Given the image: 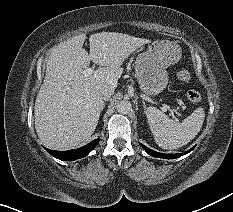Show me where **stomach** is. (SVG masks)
Wrapping results in <instances>:
<instances>
[{"label":"stomach","instance_id":"1","mask_svg":"<svg viewBox=\"0 0 233 212\" xmlns=\"http://www.w3.org/2000/svg\"><path fill=\"white\" fill-rule=\"evenodd\" d=\"M181 47L174 41L157 40L135 61V75L141 90L147 95L160 93L168 83L166 68L181 58Z\"/></svg>","mask_w":233,"mask_h":212}]
</instances>
